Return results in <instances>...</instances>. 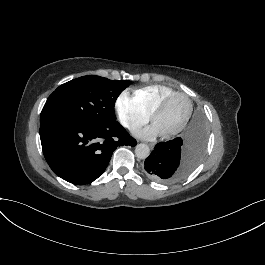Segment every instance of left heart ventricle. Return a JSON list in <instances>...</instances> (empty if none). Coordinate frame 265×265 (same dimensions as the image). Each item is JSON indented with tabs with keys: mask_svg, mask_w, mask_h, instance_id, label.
<instances>
[{
	"mask_svg": "<svg viewBox=\"0 0 265 265\" xmlns=\"http://www.w3.org/2000/svg\"><path fill=\"white\" fill-rule=\"evenodd\" d=\"M185 109L186 103L182 97L171 98L158 112L155 126L160 132L174 128L182 120Z\"/></svg>",
	"mask_w": 265,
	"mask_h": 265,
	"instance_id": "left-heart-ventricle-1",
	"label": "left heart ventricle"
}]
</instances>
